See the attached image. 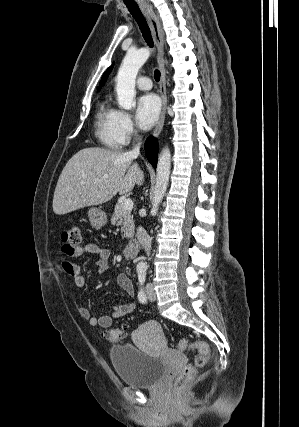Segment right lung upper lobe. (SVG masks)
Wrapping results in <instances>:
<instances>
[{
  "label": "right lung upper lobe",
  "instance_id": "right-lung-upper-lobe-1",
  "mask_svg": "<svg viewBox=\"0 0 299 427\" xmlns=\"http://www.w3.org/2000/svg\"><path fill=\"white\" fill-rule=\"evenodd\" d=\"M112 68H113V65H112V66H110V67L107 69V71L103 74V77H102V79H101V81H100V86L104 84V82L106 81V79H107V77H108V74L110 73V71L112 70ZM98 90H100V87L98 88Z\"/></svg>",
  "mask_w": 299,
  "mask_h": 427
}]
</instances>
